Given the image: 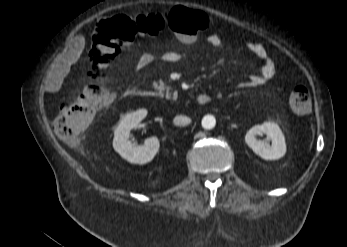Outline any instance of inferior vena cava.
Returning a JSON list of instances; mask_svg holds the SVG:
<instances>
[{"mask_svg":"<svg viewBox=\"0 0 347 247\" xmlns=\"http://www.w3.org/2000/svg\"><path fill=\"white\" fill-rule=\"evenodd\" d=\"M173 123L176 126H186L191 123V119L184 115H177L174 117Z\"/></svg>","mask_w":347,"mask_h":247,"instance_id":"1","label":"inferior vena cava"}]
</instances>
